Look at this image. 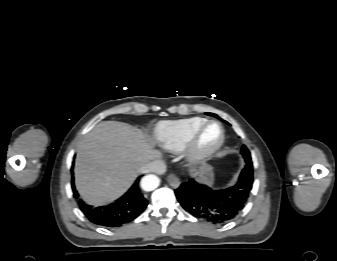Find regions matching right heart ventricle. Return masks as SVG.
<instances>
[{
  "instance_id": "e07e8e85",
  "label": "right heart ventricle",
  "mask_w": 337,
  "mask_h": 261,
  "mask_svg": "<svg viewBox=\"0 0 337 261\" xmlns=\"http://www.w3.org/2000/svg\"><path fill=\"white\" fill-rule=\"evenodd\" d=\"M206 119L191 117L160 122L155 130L158 144L169 152H180L187 146L192 134Z\"/></svg>"
}]
</instances>
